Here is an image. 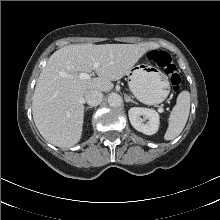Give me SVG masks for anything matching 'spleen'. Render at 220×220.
<instances>
[{
	"instance_id": "spleen-1",
	"label": "spleen",
	"mask_w": 220,
	"mask_h": 220,
	"mask_svg": "<svg viewBox=\"0 0 220 220\" xmlns=\"http://www.w3.org/2000/svg\"><path fill=\"white\" fill-rule=\"evenodd\" d=\"M190 112V93L186 90L179 93L176 105L168 118V128L165 132L166 141L175 139L184 129Z\"/></svg>"
}]
</instances>
